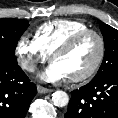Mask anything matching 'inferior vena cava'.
<instances>
[{"label": "inferior vena cava", "mask_w": 118, "mask_h": 118, "mask_svg": "<svg viewBox=\"0 0 118 118\" xmlns=\"http://www.w3.org/2000/svg\"><path fill=\"white\" fill-rule=\"evenodd\" d=\"M22 68L27 71L33 72L36 69V65H35V63H33L31 61H23Z\"/></svg>", "instance_id": "602c4592"}]
</instances>
